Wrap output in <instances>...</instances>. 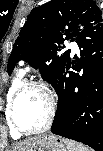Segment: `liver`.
Instances as JSON below:
<instances>
[{
  "label": "liver",
  "mask_w": 103,
  "mask_h": 151,
  "mask_svg": "<svg viewBox=\"0 0 103 151\" xmlns=\"http://www.w3.org/2000/svg\"><path fill=\"white\" fill-rule=\"evenodd\" d=\"M35 139L36 137L17 143L12 147L10 151H26Z\"/></svg>",
  "instance_id": "6515ba94"
}]
</instances>
